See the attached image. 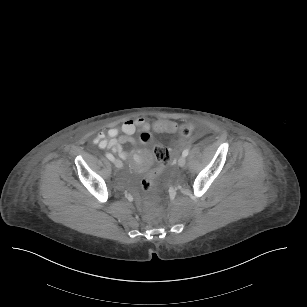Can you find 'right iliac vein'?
<instances>
[{"instance_id":"obj_1","label":"right iliac vein","mask_w":307,"mask_h":307,"mask_svg":"<svg viewBox=\"0 0 307 307\" xmlns=\"http://www.w3.org/2000/svg\"><path fill=\"white\" fill-rule=\"evenodd\" d=\"M113 163H114L115 167H117L119 169L123 167V164L119 159H114Z\"/></svg>"}]
</instances>
